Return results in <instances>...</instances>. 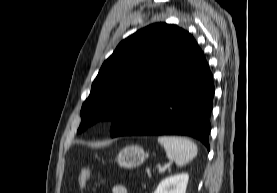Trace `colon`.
<instances>
[{"mask_svg": "<svg viewBox=\"0 0 277 193\" xmlns=\"http://www.w3.org/2000/svg\"><path fill=\"white\" fill-rule=\"evenodd\" d=\"M92 172L89 169H83L79 174L78 185L83 189L91 179Z\"/></svg>", "mask_w": 277, "mask_h": 193, "instance_id": "colon-1", "label": "colon"}]
</instances>
